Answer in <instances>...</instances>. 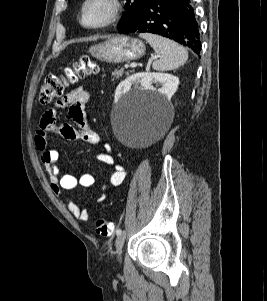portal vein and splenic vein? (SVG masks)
I'll return each mask as SVG.
<instances>
[{
  "label": "portal vein and splenic vein",
  "instance_id": "obj_1",
  "mask_svg": "<svg viewBox=\"0 0 267 301\" xmlns=\"http://www.w3.org/2000/svg\"><path fill=\"white\" fill-rule=\"evenodd\" d=\"M157 58V56L156 57H152L151 59H150V61H153L154 59H156ZM128 67H135V65H125V68H128Z\"/></svg>",
  "mask_w": 267,
  "mask_h": 301
}]
</instances>
